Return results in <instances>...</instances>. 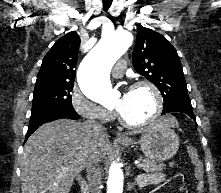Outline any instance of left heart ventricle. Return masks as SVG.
Returning <instances> with one entry per match:
<instances>
[{
	"label": "left heart ventricle",
	"instance_id": "left-heart-ventricle-1",
	"mask_svg": "<svg viewBox=\"0 0 221 193\" xmlns=\"http://www.w3.org/2000/svg\"><path fill=\"white\" fill-rule=\"evenodd\" d=\"M126 99L118 95L114 105L123 116L131 122H140L148 119L154 111L155 99L147 88L129 90Z\"/></svg>",
	"mask_w": 221,
	"mask_h": 193
}]
</instances>
